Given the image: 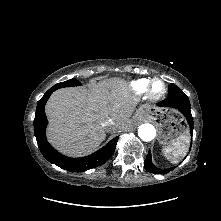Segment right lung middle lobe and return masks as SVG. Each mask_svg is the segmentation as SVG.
Returning <instances> with one entry per match:
<instances>
[{
  "instance_id": "dd1d6c3e",
  "label": "right lung middle lobe",
  "mask_w": 221,
  "mask_h": 221,
  "mask_svg": "<svg viewBox=\"0 0 221 221\" xmlns=\"http://www.w3.org/2000/svg\"><path fill=\"white\" fill-rule=\"evenodd\" d=\"M79 85H81V83H80L78 80H76V79H70V80H68V81L61 82V83H58V84L54 85V86H53L51 89H49V90L55 91V90H57V89H59V88H62V87H72V86H79Z\"/></svg>"
}]
</instances>
